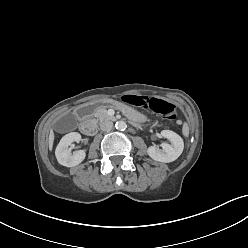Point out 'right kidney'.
Returning a JSON list of instances; mask_svg holds the SVG:
<instances>
[{
    "label": "right kidney",
    "mask_w": 248,
    "mask_h": 248,
    "mask_svg": "<svg viewBox=\"0 0 248 248\" xmlns=\"http://www.w3.org/2000/svg\"><path fill=\"white\" fill-rule=\"evenodd\" d=\"M80 140L81 135L77 132H71L62 137L55 150V155L59 164L66 167H74L85 159L86 152L84 150H78L71 153V148H69L73 142L79 143Z\"/></svg>",
    "instance_id": "right-kidney-1"
}]
</instances>
